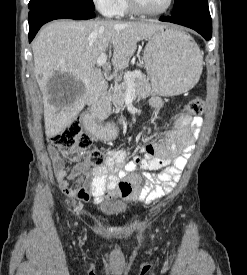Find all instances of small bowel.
<instances>
[{"mask_svg": "<svg viewBox=\"0 0 247 275\" xmlns=\"http://www.w3.org/2000/svg\"><path fill=\"white\" fill-rule=\"evenodd\" d=\"M151 104L157 111L163 107L159 98H153ZM202 124L203 119L199 115H181L175 119L174 129L166 134L164 141L144 145V157L129 159L124 150L112 149L106 153L105 164L94 169L89 168L85 158L78 160L72 168L66 167L62 154L50 146L57 183L64 194L84 202L91 199L96 204L104 200L111 204L118 200L126 203L154 202L176 187L194 151ZM86 125L92 128L91 118H86ZM121 183L131 187L129 193L119 192Z\"/></svg>", "mask_w": 247, "mask_h": 275, "instance_id": "obj_1", "label": "small bowel"}]
</instances>
